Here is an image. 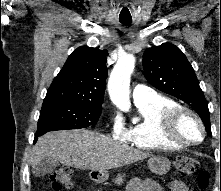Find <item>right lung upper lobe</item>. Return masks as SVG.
<instances>
[{
  "instance_id": "cb5924a9",
  "label": "right lung upper lobe",
  "mask_w": 221,
  "mask_h": 191,
  "mask_svg": "<svg viewBox=\"0 0 221 191\" xmlns=\"http://www.w3.org/2000/svg\"><path fill=\"white\" fill-rule=\"evenodd\" d=\"M106 49L78 47L49 87L43 105L79 102L102 105L106 87Z\"/></svg>"
}]
</instances>
